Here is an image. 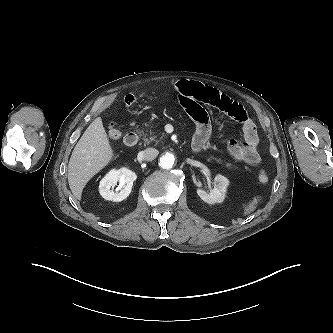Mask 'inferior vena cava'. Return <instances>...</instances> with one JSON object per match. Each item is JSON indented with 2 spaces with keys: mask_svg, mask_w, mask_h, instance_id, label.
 Segmentation results:
<instances>
[{
  "mask_svg": "<svg viewBox=\"0 0 333 333\" xmlns=\"http://www.w3.org/2000/svg\"><path fill=\"white\" fill-rule=\"evenodd\" d=\"M159 154V151L155 148H147L143 151V158L146 161L154 160Z\"/></svg>",
  "mask_w": 333,
  "mask_h": 333,
  "instance_id": "602c4592",
  "label": "inferior vena cava"
}]
</instances>
